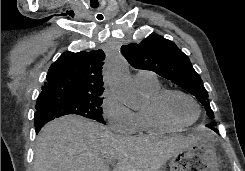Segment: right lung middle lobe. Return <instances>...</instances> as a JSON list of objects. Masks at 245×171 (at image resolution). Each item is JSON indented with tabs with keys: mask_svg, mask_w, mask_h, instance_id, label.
Returning a JSON list of instances; mask_svg holds the SVG:
<instances>
[{
	"mask_svg": "<svg viewBox=\"0 0 245 171\" xmlns=\"http://www.w3.org/2000/svg\"><path fill=\"white\" fill-rule=\"evenodd\" d=\"M102 102L103 98L101 95L55 97L43 100L35 108L37 111H44L55 118L67 114H76L105 124L102 116Z\"/></svg>",
	"mask_w": 245,
	"mask_h": 171,
	"instance_id": "right-lung-middle-lobe-1",
	"label": "right lung middle lobe"
}]
</instances>
